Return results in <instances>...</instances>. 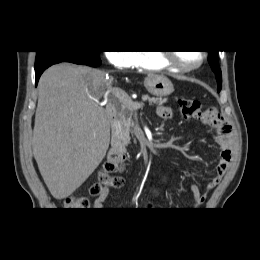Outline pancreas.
<instances>
[{
	"mask_svg": "<svg viewBox=\"0 0 260 260\" xmlns=\"http://www.w3.org/2000/svg\"><path fill=\"white\" fill-rule=\"evenodd\" d=\"M142 99L147 100L150 104H155L159 106L167 102L166 98H155L150 97L149 95H143ZM133 111V109L121 103L119 105L117 115L115 116L116 123L119 125L120 128V139L124 145L130 144L131 141L130 133H133V131L131 130V127L133 125Z\"/></svg>",
	"mask_w": 260,
	"mask_h": 260,
	"instance_id": "pancreas-1",
	"label": "pancreas"
}]
</instances>
